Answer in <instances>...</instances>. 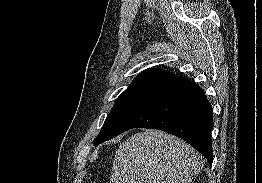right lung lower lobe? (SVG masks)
Returning a JSON list of instances; mask_svg holds the SVG:
<instances>
[{"label":"right lung lower lobe","instance_id":"1","mask_svg":"<svg viewBox=\"0 0 262 183\" xmlns=\"http://www.w3.org/2000/svg\"><path fill=\"white\" fill-rule=\"evenodd\" d=\"M136 127L174 134L198 150L212 165V107L204 90L191 80L179 77L161 88L123 132Z\"/></svg>","mask_w":262,"mask_h":183}]
</instances>
